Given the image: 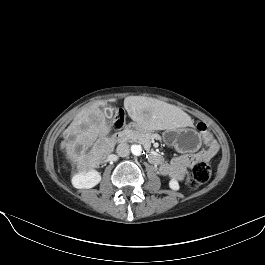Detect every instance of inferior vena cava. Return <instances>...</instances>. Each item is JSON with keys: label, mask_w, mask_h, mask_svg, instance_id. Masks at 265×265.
I'll list each match as a JSON object with an SVG mask.
<instances>
[{"label": "inferior vena cava", "mask_w": 265, "mask_h": 265, "mask_svg": "<svg viewBox=\"0 0 265 265\" xmlns=\"http://www.w3.org/2000/svg\"><path fill=\"white\" fill-rule=\"evenodd\" d=\"M116 152L120 157H127L130 153V147L127 143H121L117 146Z\"/></svg>", "instance_id": "1"}]
</instances>
